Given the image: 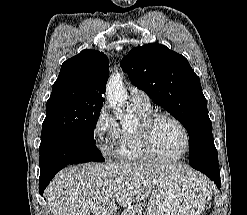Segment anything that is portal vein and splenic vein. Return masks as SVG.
<instances>
[{"instance_id": "18ae733b", "label": "portal vein and splenic vein", "mask_w": 247, "mask_h": 215, "mask_svg": "<svg viewBox=\"0 0 247 215\" xmlns=\"http://www.w3.org/2000/svg\"><path fill=\"white\" fill-rule=\"evenodd\" d=\"M109 193L110 194H114L115 193V190H109Z\"/></svg>"}]
</instances>
